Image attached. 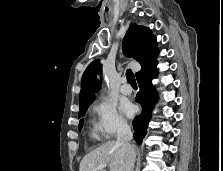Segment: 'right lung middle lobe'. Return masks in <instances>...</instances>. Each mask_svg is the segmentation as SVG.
<instances>
[{"label":"right lung middle lobe","mask_w":223,"mask_h":171,"mask_svg":"<svg viewBox=\"0 0 223 171\" xmlns=\"http://www.w3.org/2000/svg\"><path fill=\"white\" fill-rule=\"evenodd\" d=\"M88 107H89V105L80 107V109H79V118H80V117H83V116L85 115V113H86ZM82 126H83V119H81V120L79 121V125H78L79 130L82 128Z\"/></svg>","instance_id":"dd1d6c3e"}]
</instances>
